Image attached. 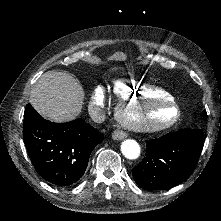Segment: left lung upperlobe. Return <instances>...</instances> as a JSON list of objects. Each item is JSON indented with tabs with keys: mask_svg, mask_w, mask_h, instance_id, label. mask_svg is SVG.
<instances>
[{
	"mask_svg": "<svg viewBox=\"0 0 221 221\" xmlns=\"http://www.w3.org/2000/svg\"><path fill=\"white\" fill-rule=\"evenodd\" d=\"M204 117H205V118L207 117L206 111H204Z\"/></svg>",
	"mask_w": 221,
	"mask_h": 221,
	"instance_id": "1",
	"label": "left lung upper lobe"
}]
</instances>
